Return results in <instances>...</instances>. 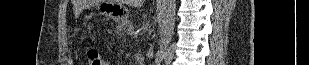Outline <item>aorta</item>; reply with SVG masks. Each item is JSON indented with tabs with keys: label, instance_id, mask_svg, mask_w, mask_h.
Here are the masks:
<instances>
[{
	"label": "aorta",
	"instance_id": "762f6f07",
	"mask_svg": "<svg viewBox=\"0 0 309 65\" xmlns=\"http://www.w3.org/2000/svg\"><path fill=\"white\" fill-rule=\"evenodd\" d=\"M176 0H161L158 11L160 31L159 49L156 53L154 64L160 65L164 59L165 51L171 42L175 27Z\"/></svg>",
	"mask_w": 309,
	"mask_h": 65
}]
</instances>
